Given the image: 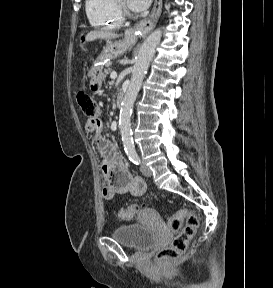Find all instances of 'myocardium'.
<instances>
[{"label": "myocardium", "mask_w": 273, "mask_h": 288, "mask_svg": "<svg viewBox=\"0 0 273 288\" xmlns=\"http://www.w3.org/2000/svg\"><path fill=\"white\" fill-rule=\"evenodd\" d=\"M117 1V4H118V7L121 11V14H124L125 16L127 17H131V13L126 9L125 7V4L122 0H116Z\"/></svg>", "instance_id": "myocardium-1"}]
</instances>
